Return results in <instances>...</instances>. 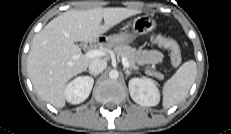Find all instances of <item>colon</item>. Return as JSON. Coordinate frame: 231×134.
<instances>
[{
    "instance_id": "1",
    "label": "colon",
    "mask_w": 231,
    "mask_h": 134,
    "mask_svg": "<svg viewBox=\"0 0 231 134\" xmlns=\"http://www.w3.org/2000/svg\"><path fill=\"white\" fill-rule=\"evenodd\" d=\"M150 42L170 51L171 63L174 67H178L181 64V50L179 44L174 39L155 35L150 38Z\"/></svg>"
}]
</instances>
